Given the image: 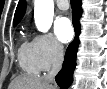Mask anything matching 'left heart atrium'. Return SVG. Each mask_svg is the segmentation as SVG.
Listing matches in <instances>:
<instances>
[{
	"mask_svg": "<svg viewBox=\"0 0 107 89\" xmlns=\"http://www.w3.org/2000/svg\"><path fill=\"white\" fill-rule=\"evenodd\" d=\"M54 30L59 41L65 43L71 40L73 28L67 17H60L54 25Z\"/></svg>",
	"mask_w": 107,
	"mask_h": 89,
	"instance_id": "obj_1",
	"label": "left heart atrium"
}]
</instances>
